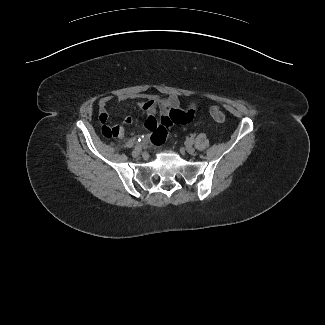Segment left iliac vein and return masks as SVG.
<instances>
[{
    "mask_svg": "<svg viewBox=\"0 0 325 325\" xmlns=\"http://www.w3.org/2000/svg\"><path fill=\"white\" fill-rule=\"evenodd\" d=\"M185 149H186V151H187L188 153H190V154H193L194 151H195L194 147H193L191 144H187V145L185 146Z\"/></svg>",
    "mask_w": 325,
    "mask_h": 325,
    "instance_id": "1",
    "label": "left iliac vein"
}]
</instances>
